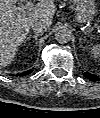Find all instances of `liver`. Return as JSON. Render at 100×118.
<instances>
[{
	"label": "liver",
	"instance_id": "obj_1",
	"mask_svg": "<svg viewBox=\"0 0 100 118\" xmlns=\"http://www.w3.org/2000/svg\"><path fill=\"white\" fill-rule=\"evenodd\" d=\"M18 0H0V65L5 67L15 57L19 46L29 33L35 20H45L49 25L56 11L55 0H39L32 11L17 13ZM24 1V0H20Z\"/></svg>",
	"mask_w": 100,
	"mask_h": 118
}]
</instances>
